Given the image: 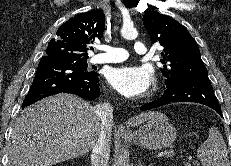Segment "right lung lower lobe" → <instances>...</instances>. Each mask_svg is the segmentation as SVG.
Segmentation results:
<instances>
[{
  "instance_id": "98d812e1",
  "label": "right lung lower lobe",
  "mask_w": 231,
  "mask_h": 166,
  "mask_svg": "<svg viewBox=\"0 0 231 166\" xmlns=\"http://www.w3.org/2000/svg\"><path fill=\"white\" fill-rule=\"evenodd\" d=\"M60 92L94 100L101 94L98 75L83 71L69 62L43 56L22 108Z\"/></svg>"
}]
</instances>
